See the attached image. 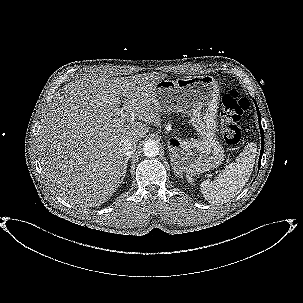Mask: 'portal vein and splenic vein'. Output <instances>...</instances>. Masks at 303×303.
<instances>
[{"instance_id": "1", "label": "portal vein and splenic vein", "mask_w": 303, "mask_h": 303, "mask_svg": "<svg viewBox=\"0 0 303 303\" xmlns=\"http://www.w3.org/2000/svg\"><path fill=\"white\" fill-rule=\"evenodd\" d=\"M121 117H122V118H124V117H125V115H124V114H122V112H121Z\"/></svg>"}]
</instances>
